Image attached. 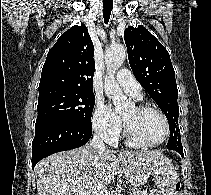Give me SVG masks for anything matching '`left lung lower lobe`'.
<instances>
[{
	"instance_id": "left-lung-lower-lobe-1",
	"label": "left lung lower lobe",
	"mask_w": 211,
	"mask_h": 195,
	"mask_svg": "<svg viewBox=\"0 0 211 195\" xmlns=\"http://www.w3.org/2000/svg\"><path fill=\"white\" fill-rule=\"evenodd\" d=\"M167 149H169V148H167ZM170 150H174V151L178 152L182 157L184 156L182 147H176V148H172Z\"/></svg>"
}]
</instances>
